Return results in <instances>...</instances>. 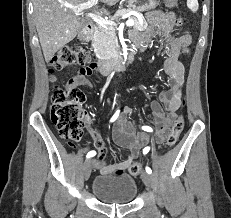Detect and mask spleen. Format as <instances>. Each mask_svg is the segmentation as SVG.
I'll use <instances>...</instances> for the list:
<instances>
[{"mask_svg":"<svg viewBox=\"0 0 231 218\" xmlns=\"http://www.w3.org/2000/svg\"><path fill=\"white\" fill-rule=\"evenodd\" d=\"M187 6L191 11L196 12L199 7L198 0H187Z\"/></svg>","mask_w":231,"mask_h":218,"instance_id":"3e777b00","label":"spleen"}]
</instances>
